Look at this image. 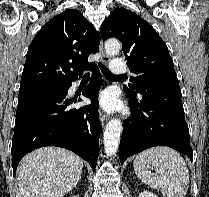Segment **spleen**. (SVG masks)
I'll list each match as a JSON object with an SVG mask.
<instances>
[{
	"mask_svg": "<svg viewBox=\"0 0 209 197\" xmlns=\"http://www.w3.org/2000/svg\"><path fill=\"white\" fill-rule=\"evenodd\" d=\"M134 171L143 183L159 190L163 197H184L187 193L189 171L182 156L172 148L156 146L141 152L134 160Z\"/></svg>",
	"mask_w": 209,
	"mask_h": 197,
	"instance_id": "1",
	"label": "spleen"
}]
</instances>
